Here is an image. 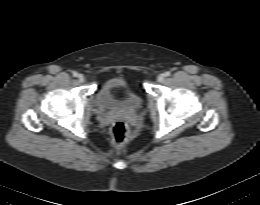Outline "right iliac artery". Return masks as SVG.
Here are the masks:
<instances>
[{
  "instance_id": "obj_1",
  "label": "right iliac artery",
  "mask_w": 260,
  "mask_h": 205,
  "mask_svg": "<svg viewBox=\"0 0 260 205\" xmlns=\"http://www.w3.org/2000/svg\"><path fill=\"white\" fill-rule=\"evenodd\" d=\"M73 76L74 77H77L78 76V73L76 71L73 72Z\"/></svg>"
}]
</instances>
